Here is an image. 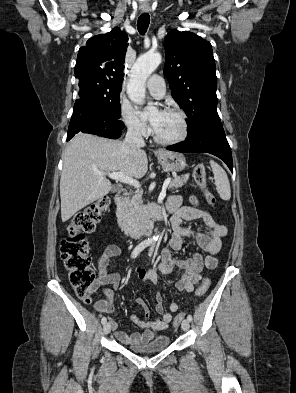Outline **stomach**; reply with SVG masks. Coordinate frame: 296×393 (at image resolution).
I'll return each mask as SVG.
<instances>
[{"mask_svg": "<svg viewBox=\"0 0 296 393\" xmlns=\"http://www.w3.org/2000/svg\"><path fill=\"white\" fill-rule=\"evenodd\" d=\"M162 168L168 172H180L186 167V159L183 154L169 151H161L157 155Z\"/></svg>", "mask_w": 296, "mask_h": 393, "instance_id": "stomach-1", "label": "stomach"}]
</instances>
